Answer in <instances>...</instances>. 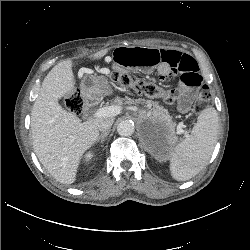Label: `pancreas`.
I'll list each match as a JSON object with an SVG mask.
<instances>
[{"mask_svg": "<svg viewBox=\"0 0 250 250\" xmlns=\"http://www.w3.org/2000/svg\"><path fill=\"white\" fill-rule=\"evenodd\" d=\"M115 103L122 105H130V104H145L148 107H152V114L151 116L159 121H166L170 125V129L168 134L166 135V138L169 143L174 144L177 142V137L174 134V128L173 123L171 121V117L168 114V111L164 109L162 106H160L157 102L151 101V100H143V99H136L133 100L129 97L126 98H120L117 97L115 99Z\"/></svg>", "mask_w": 250, "mask_h": 250, "instance_id": "1", "label": "pancreas"}]
</instances>
